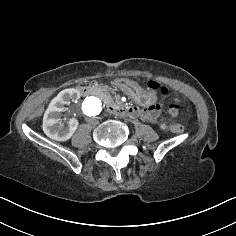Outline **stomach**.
Segmentation results:
<instances>
[{
    "label": "stomach",
    "mask_w": 236,
    "mask_h": 236,
    "mask_svg": "<svg viewBox=\"0 0 236 236\" xmlns=\"http://www.w3.org/2000/svg\"><path fill=\"white\" fill-rule=\"evenodd\" d=\"M116 88L120 93L127 96L139 105H149L156 100V93L151 90H143L142 86L135 79L119 78L116 81Z\"/></svg>",
    "instance_id": "stomach-1"
}]
</instances>
